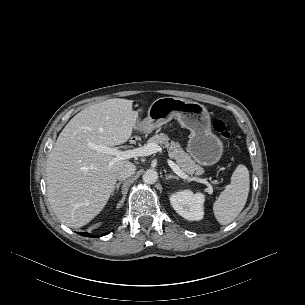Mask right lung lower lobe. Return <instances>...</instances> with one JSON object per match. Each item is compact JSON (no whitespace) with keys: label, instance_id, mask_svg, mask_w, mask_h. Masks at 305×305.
Here are the masks:
<instances>
[{"label":"right lung lower lobe","instance_id":"98d812e1","mask_svg":"<svg viewBox=\"0 0 305 305\" xmlns=\"http://www.w3.org/2000/svg\"><path fill=\"white\" fill-rule=\"evenodd\" d=\"M79 234L82 235V236H86V237H99V236H92L87 232H83V233H79Z\"/></svg>","mask_w":305,"mask_h":305}]
</instances>
